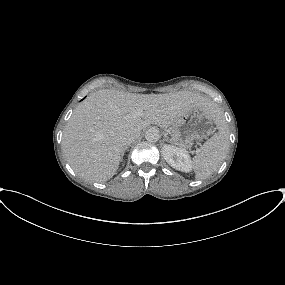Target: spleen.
<instances>
[{"instance_id":"1","label":"spleen","mask_w":285,"mask_h":285,"mask_svg":"<svg viewBox=\"0 0 285 285\" xmlns=\"http://www.w3.org/2000/svg\"><path fill=\"white\" fill-rule=\"evenodd\" d=\"M215 123L218 132L202 145L192 160L197 179L213 174L221 165L230 146L228 127L220 110H217Z\"/></svg>"}]
</instances>
